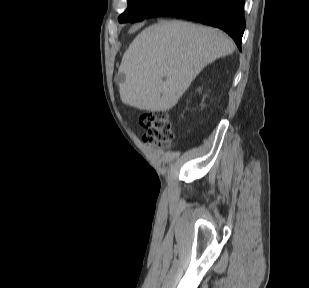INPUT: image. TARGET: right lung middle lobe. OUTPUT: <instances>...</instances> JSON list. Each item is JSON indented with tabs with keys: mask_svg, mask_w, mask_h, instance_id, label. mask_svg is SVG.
Returning <instances> with one entry per match:
<instances>
[{
	"mask_svg": "<svg viewBox=\"0 0 309 288\" xmlns=\"http://www.w3.org/2000/svg\"><path fill=\"white\" fill-rule=\"evenodd\" d=\"M128 8L120 15L119 22H137L147 18L168 0H127Z\"/></svg>",
	"mask_w": 309,
	"mask_h": 288,
	"instance_id": "1",
	"label": "right lung middle lobe"
}]
</instances>
